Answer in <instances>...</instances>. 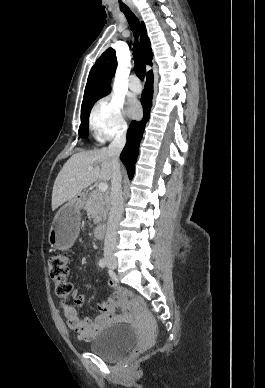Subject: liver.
I'll return each instance as SVG.
<instances>
[{"instance_id": "6515ba94", "label": "liver", "mask_w": 265, "mask_h": 388, "mask_svg": "<svg viewBox=\"0 0 265 388\" xmlns=\"http://www.w3.org/2000/svg\"><path fill=\"white\" fill-rule=\"evenodd\" d=\"M89 166H95V168L88 170ZM111 170V158L108 156L107 148L79 152L71 156L54 182L52 212L65 202L77 198L84 188H88L97 180H102V182L111 180Z\"/></svg>"}]
</instances>
